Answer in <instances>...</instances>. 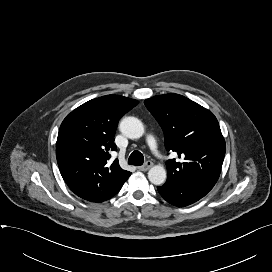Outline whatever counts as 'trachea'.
<instances>
[{"instance_id": "1", "label": "trachea", "mask_w": 272, "mask_h": 272, "mask_svg": "<svg viewBox=\"0 0 272 272\" xmlns=\"http://www.w3.org/2000/svg\"><path fill=\"white\" fill-rule=\"evenodd\" d=\"M144 163V156L141 152L135 150L131 153L128 159V164L140 166Z\"/></svg>"}]
</instances>
